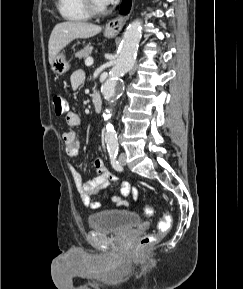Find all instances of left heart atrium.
<instances>
[{"label":"left heart atrium","mask_w":243,"mask_h":289,"mask_svg":"<svg viewBox=\"0 0 243 289\" xmlns=\"http://www.w3.org/2000/svg\"><path fill=\"white\" fill-rule=\"evenodd\" d=\"M103 5H108L114 2V0H100Z\"/></svg>","instance_id":"left-heart-atrium-1"}]
</instances>
